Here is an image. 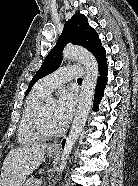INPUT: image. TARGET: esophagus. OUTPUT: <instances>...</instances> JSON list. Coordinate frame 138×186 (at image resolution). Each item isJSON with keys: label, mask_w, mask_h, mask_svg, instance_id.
<instances>
[{"label": "esophagus", "mask_w": 138, "mask_h": 186, "mask_svg": "<svg viewBox=\"0 0 138 186\" xmlns=\"http://www.w3.org/2000/svg\"><path fill=\"white\" fill-rule=\"evenodd\" d=\"M50 147L54 148V149H57L58 148V142L53 143Z\"/></svg>", "instance_id": "1"}]
</instances>
